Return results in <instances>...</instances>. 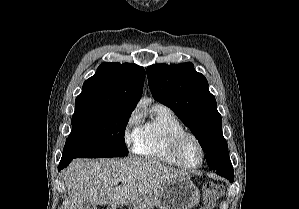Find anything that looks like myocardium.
I'll return each mask as SVG.
<instances>
[{
  "label": "myocardium",
  "instance_id": "obj_1",
  "mask_svg": "<svg viewBox=\"0 0 299 209\" xmlns=\"http://www.w3.org/2000/svg\"><path fill=\"white\" fill-rule=\"evenodd\" d=\"M193 139L199 146L201 150V161L197 166H189L185 164L182 160V148L183 144L187 139ZM171 155L176 163V165L185 170H196L202 167L206 158V150L202 141L193 133L183 132L176 135L171 143Z\"/></svg>",
  "mask_w": 299,
  "mask_h": 209
}]
</instances>
